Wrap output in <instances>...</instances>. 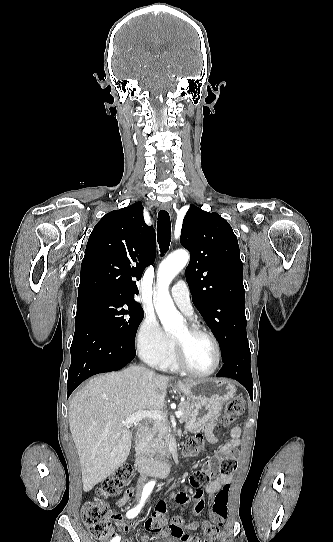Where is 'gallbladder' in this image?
Listing matches in <instances>:
<instances>
[{
    "mask_svg": "<svg viewBox=\"0 0 333 542\" xmlns=\"http://www.w3.org/2000/svg\"><path fill=\"white\" fill-rule=\"evenodd\" d=\"M132 434H133V438H134V440H135V438H136V436H137V428H133Z\"/></svg>",
    "mask_w": 333,
    "mask_h": 542,
    "instance_id": "1",
    "label": "gallbladder"
}]
</instances>
